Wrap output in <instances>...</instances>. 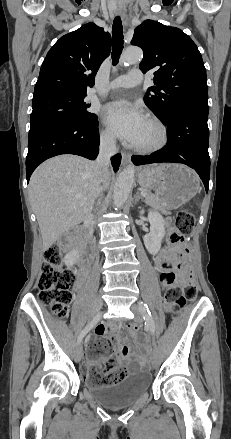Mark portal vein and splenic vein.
Here are the masks:
<instances>
[{
    "label": "portal vein and splenic vein",
    "mask_w": 231,
    "mask_h": 439,
    "mask_svg": "<svg viewBox=\"0 0 231 439\" xmlns=\"http://www.w3.org/2000/svg\"><path fill=\"white\" fill-rule=\"evenodd\" d=\"M141 195L145 197L147 195V193L146 192H141Z\"/></svg>",
    "instance_id": "obj_1"
}]
</instances>
